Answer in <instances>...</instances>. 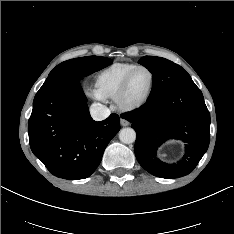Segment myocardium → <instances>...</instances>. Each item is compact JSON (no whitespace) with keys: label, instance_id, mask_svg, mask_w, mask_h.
<instances>
[{"label":"myocardium","instance_id":"1","mask_svg":"<svg viewBox=\"0 0 234 234\" xmlns=\"http://www.w3.org/2000/svg\"><path fill=\"white\" fill-rule=\"evenodd\" d=\"M141 69L147 70L150 73L151 84H150L149 90L146 93V95L143 98H141L140 100H138L134 103H127L126 102V95H127V92H128L129 86H130L131 79H132L133 75L138 70H141ZM155 81H156V78H155V74L152 71V69H150L149 67L144 66V65L136 66L125 77V79H124V81H123V83H122V85H121V87H120V89L115 97V103H116L117 107L123 112H132V111H135V110L139 109L140 107H142L149 100L150 96L152 95V92H153L154 86H155Z\"/></svg>","mask_w":234,"mask_h":234}]
</instances>
